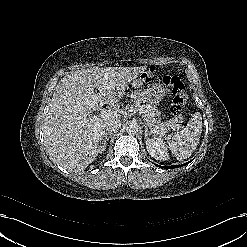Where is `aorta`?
Returning <instances> with one entry per match:
<instances>
[{
    "label": "aorta",
    "instance_id": "obj_1",
    "mask_svg": "<svg viewBox=\"0 0 247 247\" xmlns=\"http://www.w3.org/2000/svg\"><path fill=\"white\" fill-rule=\"evenodd\" d=\"M138 124L134 121L129 122L126 126V132L129 134H136L138 132Z\"/></svg>",
    "mask_w": 247,
    "mask_h": 247
}]
</instances>
